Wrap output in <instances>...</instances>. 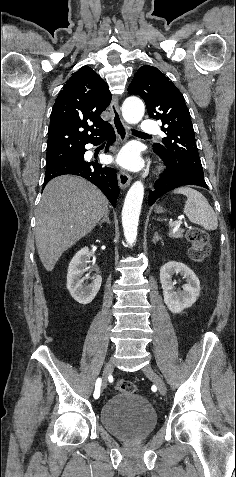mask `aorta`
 <instances>
[{"label":"aorta","instance_id":"obj_1","mask_svg":"<svg viewBox=\"0 0 236 477\" xmlns=\"http://www.w3.org/2000/svg\"><path fill=\"white\" fill-rule=\"evenodd\" d=\"M145 113V106L141 99L130 96L125 99L122 105V115L129 124L140 122ZM144 197V185L141 181H136L129 188L125 197L122 209V225L124 236L129 245H132L137 238L138 222L141 205Z\"/></svg>","mask_w":236,"mask_h":477}]
</instances>
